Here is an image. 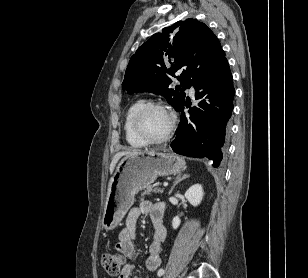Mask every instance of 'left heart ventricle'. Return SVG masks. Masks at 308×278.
Wrapping results in <instances>:
<instances>
[{"mask_svg":"<svg viewBox=\"0 0 308 278\" xmlns=\"http://www.w3.org/2000/svg\"><path fill=\"white\" fill-rule=\"evenodd\" d=\"M169 125V115L161 109H151L142 118L143 129L153 138L162 137L167 132Z\"/></svg>","mask_w":308,"mask_h":278,"instance_id":"obj_1","label":"left heart ventricle"}]
</instances>
